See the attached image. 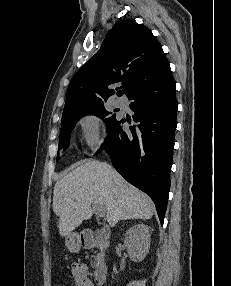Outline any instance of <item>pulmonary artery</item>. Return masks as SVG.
<instances>
[{
	"label": "pulmonary artery",
	"mask_w": 231,
	"mask_h": 286,
	"mask_svg": "<svg viewBox=\"0 0 231 286\" xmlns=\"http://www.w3.org/2000/svg\"><path fill=\"white\" fill-rule=\"evenodd\" d=\"M114 105L117 107H122V106H124V100L120 97H116L114 99Z\"/></svg>",
	"instance_id": "e3ab8cb5"
}]
</instances>
